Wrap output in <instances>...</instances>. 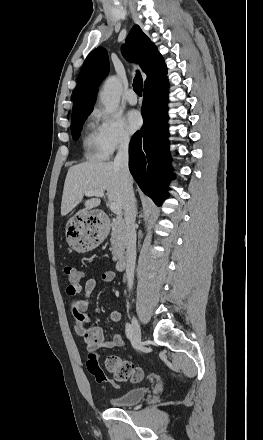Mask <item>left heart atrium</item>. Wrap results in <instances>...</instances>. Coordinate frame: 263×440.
Here are the masks:
<instances>
[{"label":"left heart atrium","mask_w":263,"mask_h":440,"mask_svg":"<svg viewBox=\"0 0 263 440\" xmlns=\"http://www.w3.org/2000/svg\"><path fill=\"white\" fill-rule=\"evenodd\" d=\"M142 125V117L136 110H131L126 115V126L129 132L134 133Z\"/></svg>","instance_id":"left-heart-atrium-1"}]
</instances>
